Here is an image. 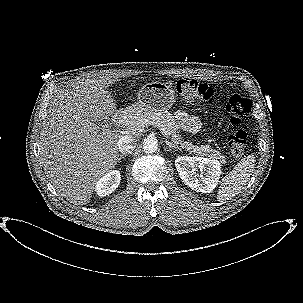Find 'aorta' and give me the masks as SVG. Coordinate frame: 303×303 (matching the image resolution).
<instances>
[{"instance_id": "762f6f07", "label": "aorta", "mask_w": 303, "mask_h": 303, "mask_svg": "<svg viewBox=\"0 0 303 303\" xmlns=\"http://www.w3.org/2000/svg\"><path fill=\"white\" fill-rule=\"evenodd\" d=\"M158 149V141L154 137H147L143 141V150L147 154L154 153Z\"/></svg>"}]
</instances>
